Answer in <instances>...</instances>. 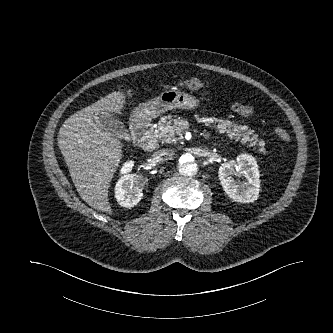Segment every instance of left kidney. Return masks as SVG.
Masks as SVG:
<instances>
[{
    "instance_id": "obj_1",
    "label": "left kidney",
    "mask_w": 333,
    "mask_h": 333,
    "mask_svg": "<svg viewBox=\"0 0 333 333\" xmlns=\"http://www.w3.org/2000/svg\"><path fill=\"white\" fill-rule=\"evenodd\" d=\"M236 175H243L245 181L234 179ZM221 185L225 193L236 202L252 203L259 196V169L256 159L248 154H241L236 162L223 163L218 172Z\"/></svg>"
}]
</instances>
